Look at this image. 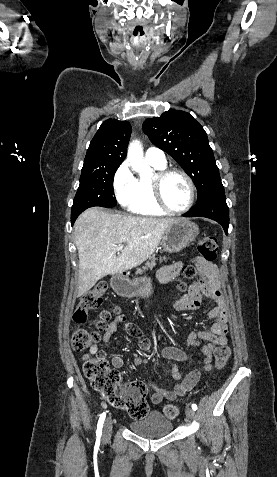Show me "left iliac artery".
Wrapping results in <instances>:
<instances>
[{
    "instance_id": "obj_1",
    "label": "left iliac artery",
    "mask_w": 277,
    "mask_h": 477,
    "mask_svg": "<svg viewBox=\"0 0 277 477\" xmlns=\"http://www.w3.org/2000/svg\"><path fill=\"white\" fill-rule=\"evenodd\" d=\"M191 407H192V409H193L194 411H196V410H197V405H196V404H192V406H191Z\"/></svg>"
}]
</instances>
